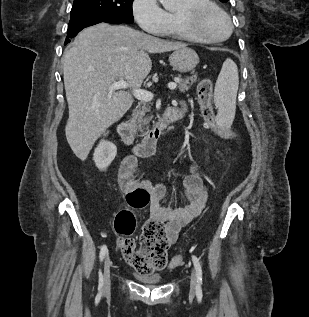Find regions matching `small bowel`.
I'll use <instances>...</instances> for the list:
<instances>
[{
    "label": "small bowel",
    "instance_id": "small-bowel-1",
    "mask_svg": "<svg viewBox=\"0 0 309 317\" xmlns=\"http://www.w3.org/2000/svg\"><path fill=\"white\" fill-rule=\"evenodd\" d=\"M177 109L182 118L186 112L185 105L180 103ZM136 167L137 158L134 155L123 159L118 174L120 189L125 194L136 189H144L149 193L151 219L164 223L169 243L174 244L181 230L197 218L205 208L208 199V185L203 174L196 165H192L190 174L183 180V190L178 197V202L174 205H165L164 202L168 198L166 187L135 178Z\"/></svg>",
    "mask_w": 309,
    "mask_h": 317
}]
</instances>
